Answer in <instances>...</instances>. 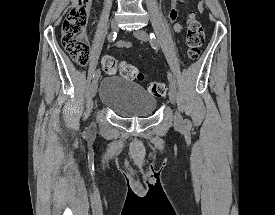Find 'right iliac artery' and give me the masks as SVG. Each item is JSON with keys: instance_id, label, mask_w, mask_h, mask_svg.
Segmentation results:
<instances>
[{"instance_id": "right-iliac-artery-1", "label": "right iliac artery", "mask_w": 275, "mask_h": 215, "mask_svg": "<svg viewBox=\"0 0 275 215\" xmlns=\"http://www.w3.org/2000/svg\"><path fill=\"white\" fill-rule=\"evenodd\" d=\"M116 36H117V32H111L110 34H109V36H108V40L110 41V42H113V41H115V39H116ZM99 76H100V71L99 70H96L94 73H93V78L95 79V78H99Z\"/></svg>"}]
</instances>
